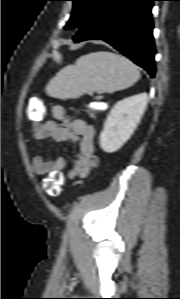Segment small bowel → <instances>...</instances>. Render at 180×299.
Listing matches in <instances>:
<instances>
[{
    "label": "small bowel",
    "instance_id": "small-bowel-1",
    "mask_svg": "<svg viewBox=\"0 0 180 299\" xmlns=\"http://www.w3.org/2000/svg\"><path fill=\"white\" fill-rule=\"evenodd\" d=\"M32 139L43 146L44 142L51 140L55 143H78V153L72 160V168L68 172V178H85L98 163L99 158L95 153L94 138L95 129L84 119H71L67 116L65 108L55 105L52 109V119L39 120L30 117ZM68 160L59 156L53 160L38 154L32 162V170L36 175L45 176L55 172H61Z\"/></svg>",
    "mask_w": 180,
    "mask_h": 299
}]
</instances>
